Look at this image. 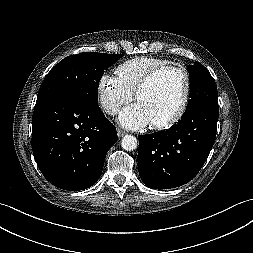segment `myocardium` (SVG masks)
Here are the masks:
<instances>
[{"mask_svg": "<svg viewBox=\"0 0 253 253\" xmlns=\"http://www.w3.org/2000/svg\"><path fill=\"white\" fill-rule=\"evenodd\" d=\"M168 71H176L180 74L182 81H183V93L182 99L179 109L176 111L174 115L170 118L158 121V122H151L152 127L156 129H167L175 124H177L185 115L189 101H190V92H191V77L190 73L187 68L181 64H167L157 68L152 69L149 71L141 82L138 84L135 92H134V99L137 100L139 95L144 92L154 81L157 77L161 74L168 72Z\"/></svg>", "mask_w": 253, "mask_h": 253, "instance_id": "myocardium-1", "label": "myocardium"}]
</instances>
